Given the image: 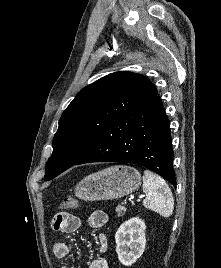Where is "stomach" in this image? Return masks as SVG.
I'll use <instances>...</instances> for the list:
<instances>
[{
  "label": "stomach",
  "instance_id": "0dacf381",
  "mask_svg": "<svg viewBox=\"0 0 221 268\" xmlns=\"http://www.w3.org/2000/svg\"><path fill=\"white\" fill-rule=\"evenodd\" d=\"M140 184L137 169L115 165L82 179L75 187V195L84 201L118 199L132 193Z\"/></svg>",
  "mask_w": 221,
  "mask_h": 268
}]
</instances>
